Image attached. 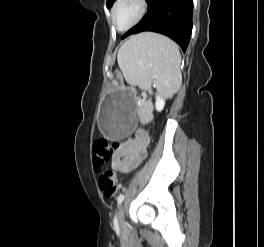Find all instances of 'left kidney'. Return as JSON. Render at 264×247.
Here are the masks:
<instances>
[{
  "label": "left kidney",
  "instance_id": "left-kidney-1",
  "mask_svg": "<svg viewBox=\"0 0 264 247\" xmlns=\"http://www.w3.org/2000/svg\"><path fill=\"white\" fill-rule=\"evenodd\" d=\"M165 106V97L163 95L158 94L156 96V102H155V107L157 111H162Z\"/></svg>",
  "mask_w": 264,
  "mask_h": 247
}]
</instances>
